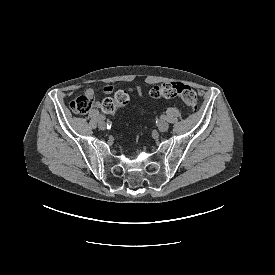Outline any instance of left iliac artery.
Wrapping results in <instances>:
<instances>
[{
    "label": "left iliac artery",
    "instance_id": "1",
    "mask_svg": "<svg viewBox=\"0 0 275 275\" xmlns=\"http://www.w3.org/2000/svg\"><path fill=\"white\" fill-rule=\"evenodd\" d=\"M161 119L165 120V119H166V116H165V115H162V116H161Z\"/></svg>",
    "mask_w": 275,
    "mask_h": 275
}]
</instances>
